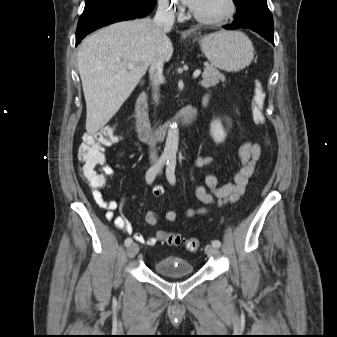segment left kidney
<instances>
[{"label": "left kidney", "instance_id": "1", "mask_svg": "<svg viewBox=\"0 0 337 337\" xmlns=\"http://www.w3.org/2000/svg\"><path fill=\"white\" fill-rule=\"evenodd\" d=\"M211 135L217 143L224 141L226 132L220 122V120H214L211 123Z\"/></svg>", "mask_w": 337, "mask_h": 337}]
</instances>
